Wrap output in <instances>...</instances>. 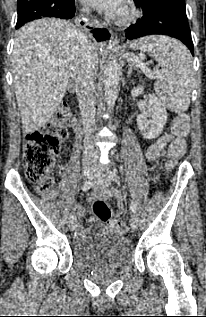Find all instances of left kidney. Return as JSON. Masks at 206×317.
I'll list each match as a JSON object with an SVG mask.
<instances>
[{"label": "left kidney", "mask_w": 206, "mask_h": 317, "mask_svg": "<svg viewBox=\"0 0 206 317\" xmlns=\"http://www.w3.org/2000/svg\"><path fill=\"white\" fill-rule=\"evenodd\" d=\"M142 86L134 87L131 95L136 97L143 92ZM150 118V120H148ZM167 122V111L154 94H149L147 112L137 116V125L143 136L147 139H155L162 132Z\"/></svg>", "instance_id": "5707ae66"}]
</instances>
